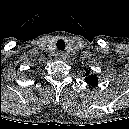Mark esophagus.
Masks as SVG:
<instances>
[{"label":"esophagus","mask_w":129,"mask_h":129,"mask_svg":"<svg viewBox=\"0 0 129 129\" xmlns=\"http://www.w3.org/2000/svg\"><path fill=\"white\" fill-rule=\"evenodd\" d=\"M58 58L59 59H65V53L64 52H59L58 53Z\"/></svg>","instance_id":"obj_1"}]
</instances>
